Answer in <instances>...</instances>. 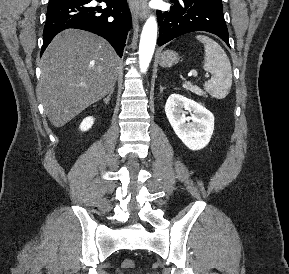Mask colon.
<instances>
[{
  "mask_svg": "<svg viewBox=\"0 0 289 274\" xmlns=\"http://www.w3.org/2000/svg\"><path fill=\"white\" fill-rule=\"evenodd\" d=\"M134 266H135V262L131 259H127L122 262V268L125 270L132 269L134 268Z\"/></svg>",
  "mask_w": 289,
  "mask_h": 274,
  "instance_id": "5ec220e1",
  "label": "colon"
}]
</instances>
